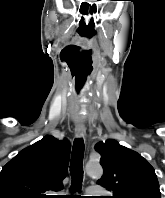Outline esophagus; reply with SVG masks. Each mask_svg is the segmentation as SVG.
Wrapping results in <instances>:
<instances>
[{
    "instance_id": "1",
    "label": "esophagus",
    "mask_w": 165,
    "mask_h": 198,
    "mask_svg": "<svg viewBox=\"0 0 165 198\" xmlns=\"http://www.w3.org/2000/svg\"><path fill=\"white\" fill-rule=\"evenodd\" d=\"M75 135L79 139L85 138L86 128H85V125L83 123H77L75 125Z\"/></svg>"
}]
</instances>
